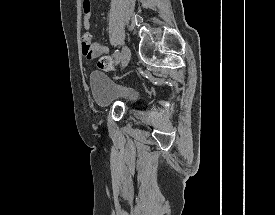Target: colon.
<instances>
[{
  "mask_svg": "<svg viewBox=\"0 0 275 215\" xmlns=\"http://www.w3.org/2000/svg\"><path fill=\"white\" fill-rule=\"evenodd\" d=\"M98 66L105 71H113L115 69L116 62L108 56H103L99 59Z\"/></svg>",
  "mask_w": 275,
  "mask_h": 215,
  "instance_id": "colon-1",
  "label": "colon"
}]
</instances>
